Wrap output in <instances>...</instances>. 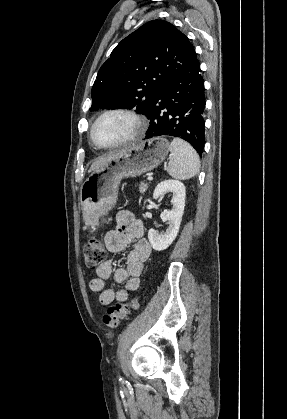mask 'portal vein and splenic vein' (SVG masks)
<instances>
[{
  "label": "portal vein and splenic vein",
  "instance_id": "18ae733b",
  "mask_svg": "<svg viewBox=\"0 0 287 419\" xmlns=\"http://www.w3.org/2000/svg\"><path fill=\"white\" fill-rule=\"evenodd\" d=\"M147 180L148 181H151V180H153V177L152 176H148Z\"/></svg>",
  "mask_w": 287,
  "mask_h": 419
}]
</instances>
